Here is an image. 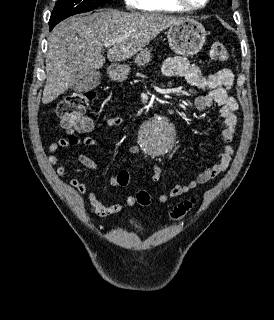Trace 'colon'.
<instances>
[{
    "label": "colon",
    "mask_w": 274,
    "mask_h": 320,
    "mask_svg": "<svg viewBox=\"0 0 274 320\" xmlns=\"http://www.w3.org/2000/svg\"><path fill=\"white\" fill-rule=\"evenodd\" d=\"M211 59L219 64L227 63L230 59L229 50L223 43H214L210 51ZM96 99V93L93 90H83L70 93L63 101L59 103L56 109V115L60 119L62 129L65 131L64 138H78L81 134L79 126L80 120H92L86 116L85 112L89 104ZM116 186H128V169H117ZM136 200L141 205L150 203V195L143 190L136 193ZM197 203V198H189L179 203L173 210V217L176 219L186 215Z\"/></svg>",
    "instance_id": "obj_1"
}]
</instances>
